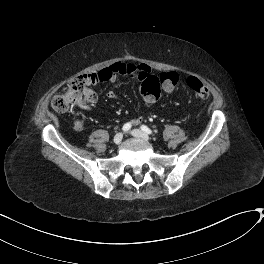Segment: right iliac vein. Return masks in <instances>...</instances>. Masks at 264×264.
I'll use <instances>...</instances> for the list:
<instances>
[{"label": "right iliac vein", "mask_w": 264, "mask_h": 264, "mask_svg": "<svg viewBox=\"0 0 264 264\" xmlns=\"http://www.w3.org/2000/svg\"><path fill=\"white\" fill-rule=\"evenodd\" d=\"M123 139V134L122 133H117L113 139V142L115 144H119Z\"/></svg>", "instance_id": "right-iliac-vein-1"}]
</instances>
